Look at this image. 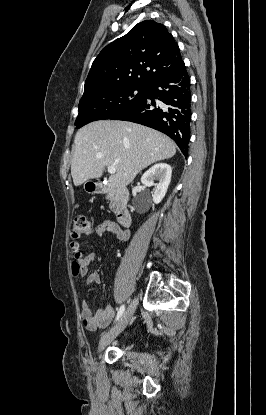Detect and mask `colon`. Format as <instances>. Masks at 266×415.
Returning a JSON list of instances; mask_svg holds the SVG:
<instances>
[{
	"label": "colon",
	"instance_id": "5ec220e1",
	"mask_svg": "<svg viewBox=\"0 0 266 415\" xmlns=\"http://www.w3.org/2000/svg\"><path fill=\"white\" fill-rule=\"evenodd\" d=\"M92 231V226L90 221L83 215H78L73 219L72 231L71 234L73 237H81L84 235H89ZM74 270L76 273L80 271V266L76 262L74 264Z\"/></svg>",
	"mask_w": 266,
	"mask_h": 415
}]
</instances>
